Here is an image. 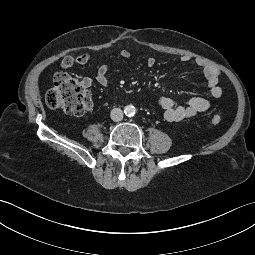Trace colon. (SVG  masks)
Returning a JSON list of instances; mask_svg holds the SVG:
<instances>
[{
  "mask_svg": "<svg viewBox=\"0 0 255 255\" xmlns=\"http://www.w3.org/2000/svg\"><path fill=\"white\" fill-rule=\"evenodd\" d=\"M45 101L49 107L73 116H82L92 105V98L86 87L64 71L54 74L53 86L46 93ZM221 120L219 114H212L213 124L218 125Z\"/></svg>",
  "mask_w": 255,
  "mask_h": 255,
  "instance_id": "colon-1",
  "label": "colon"
}]
</instances>
